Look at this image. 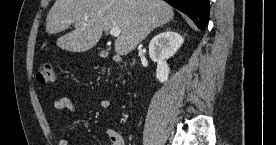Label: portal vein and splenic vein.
<instances>
[{"label":"portal vein and splenic vein","mask_w":276,"mask_h":145,"mask_svg":"<svg viewBox=\"0 0 276 145\" xmlns=\"http://www.w3.org/2000/svg\"><path fill=\"white\" fill-rule=\"evenodd\" d=\"M110 34L113 37H118L121 34L120 28L114 27L110 30Z\"/></svg>","instance_id":"portal-vein-and-splenic-vein-1"}]
</instances>
